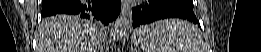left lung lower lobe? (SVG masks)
Returning a JSON list of instances; mask_svg holds the SVG:
<instances>
[{
  "instance_id": "1",
  "label": "left lung lower lobe",
  "mask_w": 261,
  "mask_h": 52,
  "mask_svg": "<svg viewBox=\"0 0 261 52\" xmlns=\"http://www.w3.org/2000/svg\"><path fill=\"white\" fill-rule=\"evenodd\" d=\"M132 17L133 28L165 18H182L198 23L192 0H148L132 9Z\"/></svg>"
}]
</instances>
